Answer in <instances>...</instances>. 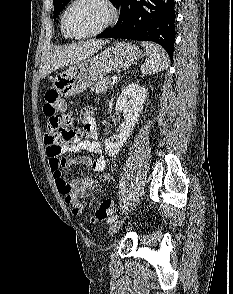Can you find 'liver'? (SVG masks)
<instances>
[{
  "label": "liver",
  "instance_id": "obj_1",
  "mask_svg": "<svg viewBox=\"0 0 233 294\" xmlns=\"http://www.w3.org/2000/svg\"><path fill=\"white\" fill-rule=\"evenodd\" d=\"M108 41L91 40L80 44H72L51 53L40 68L41 78L64 66L77 64L102 49Z\"/></svg>",
  "mask_w": 233,
  "mask_h": 294
}]
</instances>
